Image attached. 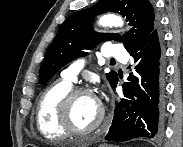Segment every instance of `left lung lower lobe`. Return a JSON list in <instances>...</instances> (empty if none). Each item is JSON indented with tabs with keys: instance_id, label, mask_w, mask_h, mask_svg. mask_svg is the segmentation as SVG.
Returning a JSON list of instances; mask_svg holds the SVG:
<instances>
[{
	"instance_id": "left-lung-lower-lobe-1",
	"label": "left lung lower lobe",
	"mask_w": 183,
	"mask_h": 147,
	"mask_svg": "<svg viewBox=\"0 0 183 147\" xmlns=\"http://www.w3.org/2000/svg\"><path fill=\"white\" fill-rule=\"evenodd\" d=\"M127 51L136 63V74H130L131 82L123 85L129 97L116 103L112 125L105 137L108 141L154 138L163 130L166 68L160 27ZM116 85L117 82L113 89Z\"/></svg>"
}]
</instances>
